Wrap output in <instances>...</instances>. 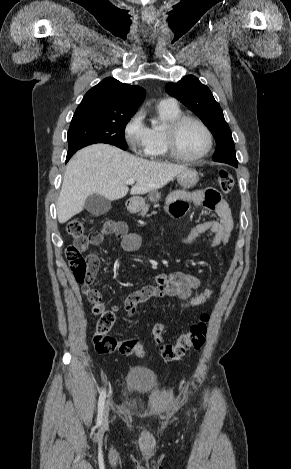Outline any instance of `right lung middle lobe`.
<instances>
[{
	"label": "right lung middle lobe",
	"mask_w": 291,
	"mask_h": 469,
	"mask_svg": "<svg viewBox=\"0 0 291 469\" xmlns=\"http://www.w3.org/2000/svg\"><path fill=\"white\" fill-rule=\"evenodd\" d=\"M131 117L74 114L68 131V151L78 150L94 143H108L126 150L124 130Z\"/></svg>",
	"instance_id": "right-lung-middle-lobe-1"
}]
</instances>
